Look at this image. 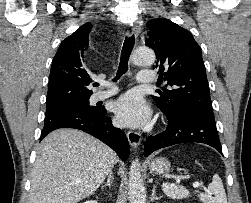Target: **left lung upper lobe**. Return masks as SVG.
I'll return each mask as SVG.
<instances>
[{"instance_id":"1","label":"left lung upper lobe","mask_w":251,"mask_h":203,"mask_svg":"<svg viewBox=\"0 0 251 203\" xmlns=\"http://www.w3.org/2000/svg\"><path fill=\"white\" fill-rule=\"evenodd\" d=\"M146 45L155 51L160 77L172 89L158 90L153 99L169 117L198 111L214 117L202 52L192 34L164 18L147 22Z\"/></svg>"}]
</instances>
